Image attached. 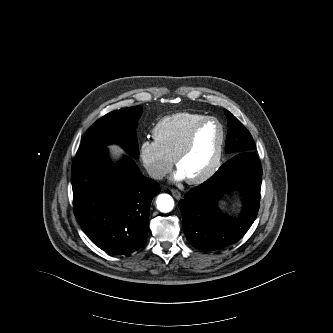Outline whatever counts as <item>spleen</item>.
<instances>
[{
    "instance_id": "1",
    "label": "spleen",
    "mask_w": 333,
    "mask_h": 333,
    "mask_svg": "<svg viewBox=\"0 0 333 333\" xmlns=\"http://www.w3.org/2000/svg\"><path fill=\"white\" fill-rule=\"evenodd\" d=\"M220 204H221L222 206H224V205H225V202L222 201Z\"/></svg>"
}]
</instances>
